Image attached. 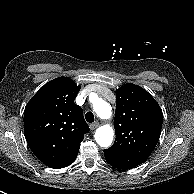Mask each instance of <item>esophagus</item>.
Instances as JSON below:
<instances>
[{"instance_id":"1","label":"esophagus","mask_w":194,"mask_h":194,"mask_svg":"<svg viewBox=\"0 0 194 194\" xmlns=\"http://www.w3.org/2000/svg\"><path fill=\"white\" fill-rule=\"evenodd\" d=\"M98 126H99V122L96 121V122L90 124V129L95 130Z\"/></svg>"}]
</instances>
